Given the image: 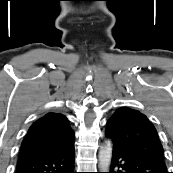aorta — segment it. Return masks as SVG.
<instances>
[{"label": "aorta", "instance_id": "762f6f07", "mask_svg": "<svg viewBox=\"0 0 173 173\" xmlns=\"http://www.w3.org/2000/svg\"><path fill=\"white\" fill-rule=\"evenodd\" d=\"M98 157L100 169L104 172L109 170L112 158V143L110 141H105L101 146Z\"/></svg>", "mask_w": 173, "mask_h": 173}]
</instances>
